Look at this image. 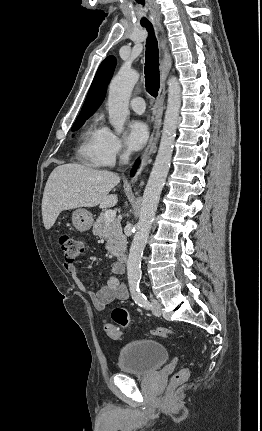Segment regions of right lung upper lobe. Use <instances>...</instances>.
<instances>
[{
	"instance_id": "obj_1",
	"label": "right lung upper lobe",
	"mask_w": 262,
	"mask_h": 431,
	"mask_svg": "<svg viewBox=\"0 0 262 431\" xmlns=\"http://www.w3.org/2000/svg\"><path fill=\"white\" fill-rule=\"evenodd\" d=\"M115 65L116 59L113 56L107 57L100 64L78 117H90L101 105Z\"/></svg>"
}]
</instances>
